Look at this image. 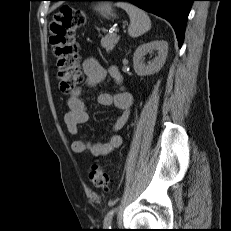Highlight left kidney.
I'll return each instance as SVG.
<instances>
[{"label":"left kidney","mask_w":231,"mask_h":231,"mask_svg":"<svg viewBox=\"0 0 231 231\" xmlns=\"http://www.w3.org/2000/svg\"><path fill=\"white\" fill-rule=\"evenodd\" d=\"M150 51H157L156 56L151 62L144 63V56ZM168 53V43L163 40L151 41L140 45L133 56L134 70L140 75H151L158 72L164 65Z\"/></svg>","instance_id":"left-kidney-1"}]
</instances>
